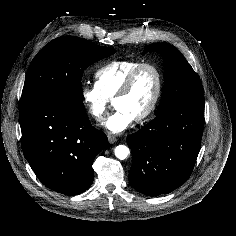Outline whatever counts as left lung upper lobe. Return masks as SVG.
<instances>
[{
  "label": "left lung upper lobe",
  "mask_w": 236,
  "mask_h": 236,
  "mask_svg": "<svg viewBox=\"0 0 236 236\" xmlns=\"http://www.w3.org/2000/svg\"><path fill=\"white\" fill-rule=\"evenodd\" d=\"M158 52L164 61V87L157 114L169 107L182 103L204 101L200 78L181 52L168 43L148 45L144 53Z\"/></svg>",
  "instance_id": "left-lung-upper-lobe-1"
}]
</instances>
